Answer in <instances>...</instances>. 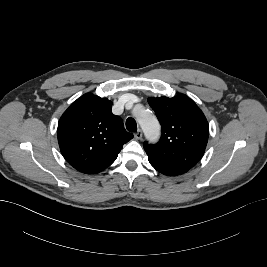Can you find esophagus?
<instances>
[{
	"label": "esophagus",
	"instance_id": "obj_1",
	"mask_svg": "<svg viewBox=\"0 0 267 267\" xmlns=\"http://www.w3.org/2000/svg\"><path fill=\"white\" fill-rule=\"evenodd\" d=\"M142 131L141 130H138L135 134H134V137L139 140L142 138Z\"/></svg>",
	"mask_w": 267,
	"mask_h": 267
}]
</instances>
